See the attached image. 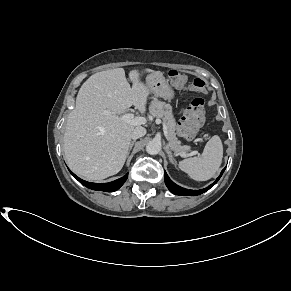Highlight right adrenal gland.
Wrapping results in <instances>:
<instances>
[{
	"label": "right adrenal gland",
	"mask_w": 291,
	"mask_h": 291,
	"mask_svg": "<svg viewBox=\"0 0 291 291\" xmlns=\"http://www.w3.org/2000/svg\"><path fill=\"white\" fill-rule=\"evenodd\" d=\"M134 143H135V140H133V141H131V142H130V145H129V150H128V154H127V157H128V155L130 154V151H131V149H132V147H133Z\"/></svg>",
	"instance_id": "obj_1"
}]
</instances>
